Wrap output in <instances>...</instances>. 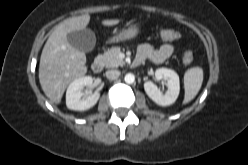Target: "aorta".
Segmentation results:
<instances>
[{
    "instance_id": "obj_1",
    "label": "aorta",
    "mask_w": 248,
    "mask_h": 165,
    "mask_svg": "<svg viewBox=\"0 0 248 165\" xmlns=\"http://www.w3.org/2000/svg\"><path fill=\"white\" fill-rule=\"evenodd\" d=\"M124 80L128 84H132L135 81V76L132 73H128V74L125 75Z\"/></svg>"
}]
</instances>
